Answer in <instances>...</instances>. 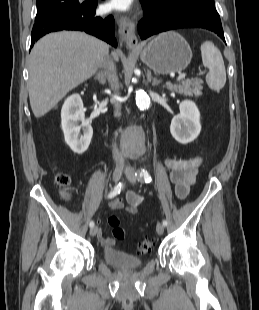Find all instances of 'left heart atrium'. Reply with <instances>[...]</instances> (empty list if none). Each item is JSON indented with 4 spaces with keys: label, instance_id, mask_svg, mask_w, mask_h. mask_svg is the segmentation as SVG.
I'll use <instances>...</instances> for the list:
<instances>
[{
    "label": "left heart atrium",
    "instance_id": "left-heart-atrium-1",
    "mask_svg": "<svg viewBox=\"0 0 259 310\" xmlns=\"http://www.w3.org/2000/svg\"><path fill=\"white\" fill-rule=\"evenodd\" d=\"M132 0H110L107 7L110 10L126 11L130 9Z\"/></svg>",
    "mask_w": 259,
    "mask_h": 310
}]
</instances>
